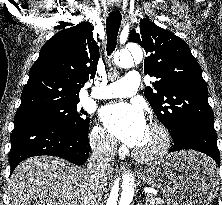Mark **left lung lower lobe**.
<instances>
[{
	"mask_svg": "<svg viewBox=\"0 0 222 205\" xmlns=\"http://www.w3.org/2000/svg\"><path fill=\"white\" fill-rule=\"evenodd\" d=\"M174 145L171 152L191 149L202 152L220 165L217 134L214 127L208 125H194L184 128L173 138Z\"/></svg>",
	"mask_w": 222,
	"mask_h": 205,
	"instance_id": "left-lung-lower-lobe-1",
	"label": "left lung lower lobe"
}]
</instances>
